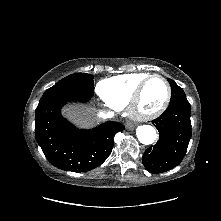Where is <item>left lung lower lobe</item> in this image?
I'll return each mask as SVG.
<instances>
[{"label":"left lung lower lobe","instance_id":"1","mask_svg":"<svg viewBox=\"0 0 221 221\" xmlns=\"http://www.w3.org/2000/svg\"><path fill=\"white\" fill-rule=\"evenodd\" d=\"M191 108L187 99L171 102L152 123L159 131L154 147L145 150L142 163L150 173H162L179 165L191 138Z\"/></svg>","mask_w":221,"mask_h":221}]
</instances>
